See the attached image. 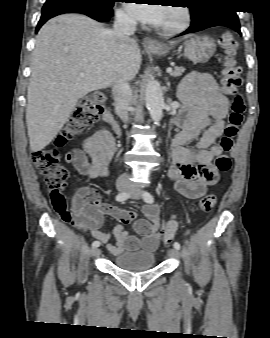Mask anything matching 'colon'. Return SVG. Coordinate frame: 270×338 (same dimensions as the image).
Wrapping results in <instances>:
<instances>
[{
    "label": "colon",
    "mask_w": 270,
    "mask_h": 338,
    "mask_svg": "<svg viewBox=\"0 0 270 338\" xmlns=\"http://www.w3.org/2000/svg\"><path fill=\"white\" fill-rule=\"evenodd\" d=\"M217 44L223 53V69L221 73V84L223 89L228 93H234L235 97L231 103L228 124L224 136L221 138L220 145L223 154L215 160V168L220 172H227L231 168L230 152L233 139L235 138L238 128L243 120L244 104L238 88L242 84L240 77L241 69L235 59L237 50V41L230 33L223 34L219 37ZM104 96L95 94L90 98L82 99L71 114L69 120L63 126L61 132L55 139V145L64 146L69 141L79 137L88 127L93 125L99 115L103 112ZM31 159L37 170L45 177L47 187L51 190V202L53 210L64 220L69 221L70 215L61 205L63 199V190L67 188L72 181V176L68 170L60 164V152L54 148H47L34 151ZM216 204V197L208 194L200 199V209L209 213ZM178 228V222L169 221L162 229L163 241L165 244H171L175 232Z\"/></svg>",
    "instance_id": "5ec220e1"
}]
</instances>
